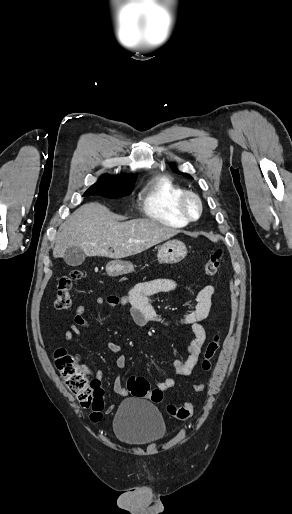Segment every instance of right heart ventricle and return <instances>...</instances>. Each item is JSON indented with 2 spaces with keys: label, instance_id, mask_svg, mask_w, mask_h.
I'll use <instances>...</instances> for the list:
<instances>
[{
  "label": "right heart ventricle",
  "instance_id": "right-heart-ventricle-1",
  "mask_svg": "<svg viewBox=\"0 0 292 514\" xmlns=\"http://www.w3.org/2000/svg\"><path fill=\"white\" fill-rule=\"evenodd\" d=\"M184 189L171 177L155 175L138 193V203L143 214L164 225L182 228L188 221L175 209L176 196Z\"/></svg>",
  "mask_w": 292,
  "mask_h": 514
}]
</instances>
